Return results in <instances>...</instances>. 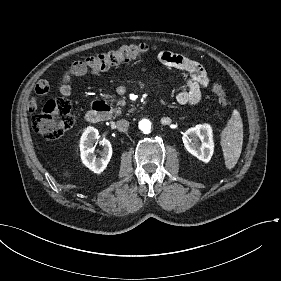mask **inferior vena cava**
Here are the masks:
<instances>
[{
  "label": "inferior vena cava",
  "mask_w": 281,
  "mask_h": 281,
  "mask_svg": "<svg viewBox=\"0 0 281 281\" xmlns=\"http://www.w3.org/2000/svg\"><path fill=\"white\" fill-rule=\"evenodd\" d=\"M129 125L130 123L126 119H121L116 122V128L122 132L127 131L129 129Z\"/></svg>",
  "instance_id": "602c4592"
}]
</instances>
